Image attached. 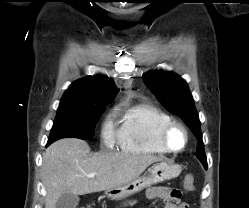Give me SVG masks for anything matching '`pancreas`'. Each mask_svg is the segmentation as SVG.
<instances>
[{
  "instance_id": "pancreas-1",
  "label": "pancreas",
  "mask_w": 249,
  "mask_h": 208,
  "mask_svg": "<svg viewBox=\"0 0 249 208\" xmlns=\"http://www.w3.org/2000/svg\"><path fill=\"white\" fill-rule=\"evenodd\" d=\"M136 203V201H133V202H129L128 204L129 205H133V204H135Z\"/></svg>"
}]
</instances>
